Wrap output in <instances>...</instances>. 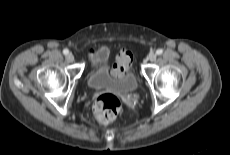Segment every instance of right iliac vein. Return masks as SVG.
I'll use <instances>...</instances> for the list:
<instances>
[{
  "mask_svg": "<svg viewBox=\"0 0 230 155\" xmlns=\"http://www.w3.org/2000/svg\"><path fill=\"white\" fill-rule=\"evenodd\" d=\"M66 61L67 62H73L74 61V55L72 53H68L66 55Z\"/></svg>",
  "mask_w": 230,
  "mask_h": 155,
  "instance_id": "obj_1",
  "label": "right iliac vein"
}]
</instances>
